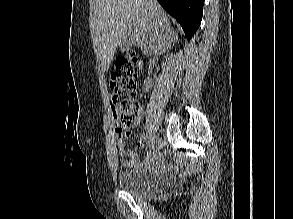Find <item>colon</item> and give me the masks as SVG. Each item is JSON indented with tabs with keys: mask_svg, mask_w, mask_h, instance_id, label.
<instances>
[{
	"mask_svg": "<svg viewBox=\"0 0 293 219\" xmlns=\"http://www.w3.org/2000/svg\"><path fill=\"white\" fill-rule=\"evenodd\" d=\"M116 69L110 74L109 87L112 101L118 110V123L121 128L130 126L135 120L137 107V84L142 62L135 53L117 58Z\"/></svg>",
	"mask_w": 293,
	"mask_h": 219,
	"instance_id": "colon-1",
	"label": "colon"
}]
</instances>
